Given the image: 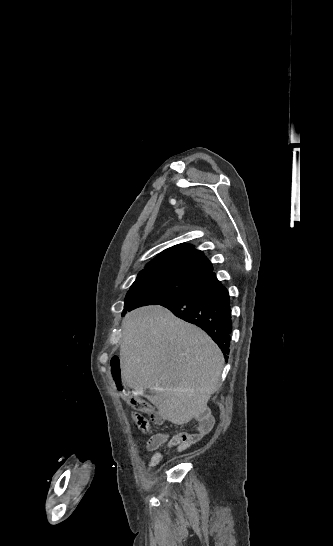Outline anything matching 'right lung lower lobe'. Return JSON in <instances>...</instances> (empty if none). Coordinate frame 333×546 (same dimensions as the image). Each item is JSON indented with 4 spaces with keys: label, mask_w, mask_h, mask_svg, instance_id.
I'll return each mask as SVG.
<instances>
[{
    "label": "right lung lower lobe",
    "mask_w": 333,
    "mask_h": 546,
    "mask_svg": "<svg viewBox=\"0 0 333 546\" xmlns=\"http://www.w3.org/2000/svg\"><path fill=\"white\" fill-rule=\"evenodd\" d=\"M159 305L206 331L218 344L227 360L232 332L230 298L227 289L217 280L214 273L207 275L191 292Z\"/></svg>",
    "instance_id": "obj_1"
}]
</instances>
